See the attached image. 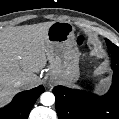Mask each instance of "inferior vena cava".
<instances>
[{"instance_id":"1","label":"inferior vena cava","mask_w":119,"mask_h":119,"mask_svg":"<svg viewBox=\"0 0 119 119\" xmlns=\"http://www.w3.org/2000/svg\"><path fill=\"white\" fill-rule=\"evenodd\" d=\"M28 81H29L28 78L23 77V78L18 79V80L15 82L14 85H15L16 87L23 86V85H25Z\"/></svg>"}]
</instances>
